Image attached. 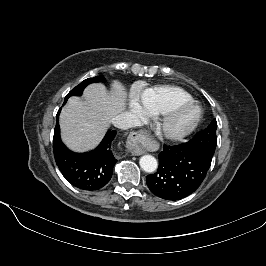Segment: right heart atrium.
<instances>
[{"label":"right heart atrium","mask_w":266,"mask_h":266,"mask_svg":"<svg viewBox=\"0 0 266 266\" xmlns=\"http://www.w3.org/2000/svg\"><path fill=\"white\" fill-rule=\"evenodd\" d=\"M130 109L140 120L146 119L149 115L144 109L143 105L135 97H133L130 101Z\"/></svg>","instance_id":"1"}]
</instances>
